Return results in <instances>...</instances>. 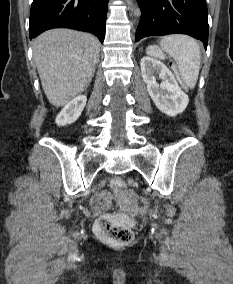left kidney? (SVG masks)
<instances>
[{
  "instance_id": "obj_1",
  "label": "left kidney",
  "mask_w": 233,
  "mask_h": 284,
  "mask_svg": "<svg viewBox=\"0 0 233 284\" xmlns=\"http://www.w3.org/2000/svg\"><path fill=\"white\" fill-rule=\"evenodd\" d=\"M141 73L147 84L148 93L156 107L168 116L182 113L188 103V96L179 87L174 75L161 61L144 56L140 62ZM155 74L163 80L156 82Z\"/></svg>"
}]
</instances>
